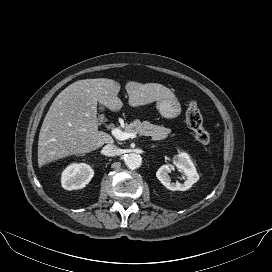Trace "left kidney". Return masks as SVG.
<instances>
[{
	"mask_svg": "<svg viewBox=\"0 0 272 272\" xmlns=\"http://www.w3.org/2000/svg\"><path fill=\"white\" fill-rule=\"evenodd\" d=\"M174 165L178 169L183 171L187 178L184 183L171 182V178L168 175V173L171 170V166L170 165L161 166L156 172V177L167 189L173 191L176 190L185 191L191 188L192 185L199 180L197 170L187 153L181 152L177 154L174 158Z\"/></svg>",
	"mask_w": 272,
	"mask_h": 272,
	"instance_id": "1",
	"label": "left kidney"
}]
</instances>
